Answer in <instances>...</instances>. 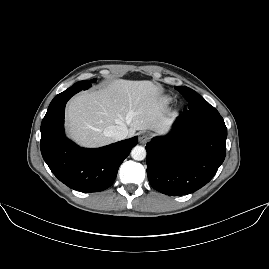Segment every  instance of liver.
<instances>
[{
  "instance_id": "liver-1",
  "label": "liver",
  "mask_w": 269,
  "mask_h": 269,
  "mask_svg": "<svg viewBox=\"0 0 269 269\" xmlns=\"http://www.w3.org/2000/svg\"><path fill=\"white\" fill-rule=\"evenodd\" d=\"M162 89L151 81L118 79L98 90L80 93L68 103V136L85 147H101L114 142L105 134L110 126H129L128 137L137 130L165 134L170 119Z\"/></svg>"
}]
</instances>
